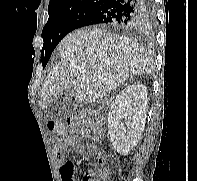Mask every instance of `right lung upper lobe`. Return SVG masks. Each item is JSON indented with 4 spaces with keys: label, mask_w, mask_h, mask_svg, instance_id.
Returning a JSON list of instances; mask_svg holds the SVG:
<instances>
[{
    "label": "right lung upper lobe",
    "mask_w": 197,
    "mask_h": 181,
    "mask_svg": "<svg viewBox=\"0 0 197 181\" xmlns=\"http://www.w3.org/2000/svg\"><path fill=\"white\" fill-rule=\"evenodd\" d=\"M105 1L107 0H51L48 6V13L52 14L85 4L102 5ZM134 29H139V28H134Z\"/></svg>",
    "instance_id": "right-lung-upper-lobe-1"
}]
</instances>
